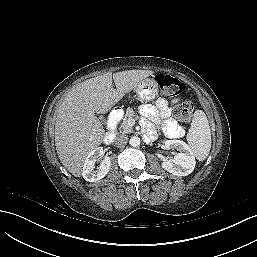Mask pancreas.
Here are the masks:
<instances>
[{
    "mask_svg": "<svg viewBox=\"0 0 257 257\" xmlns=\"http://www.w3.org/2000/svg\"><path fill=\"white\" fill-rule=\"evenodd\" d=\"M134 111L132 108H127L125 117L120 126V133L129 134L133 132V128L129 125V120L133 117Z\"/></svg>",
    "mask_w": 257,
    "mask_h": 257,
    "instance_id": "obj_1",
    "label": "pancreas"
}]
</instances>
